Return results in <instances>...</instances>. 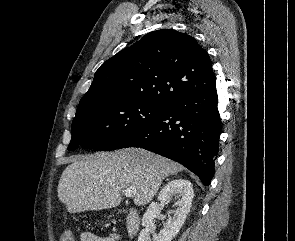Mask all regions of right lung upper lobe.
Segmentation results:
<instances>
[{"instance_id": "obj_1", "label": "right lung upper lobe", "mask_w": 295, "mask_h": 241, "mask_svg": "<svg viewBox=\"0 0 295 241\" xmlns=\"http://www.w3.org/2000/svg\"><path fill=\"white\" fill-rule=\"evenodd\" d=\"M215 79L208 53L193 37L161 29L104 62L83 97L114 92L164 106L178 96L210 87Z\"/></svg>"}]
</instances>
